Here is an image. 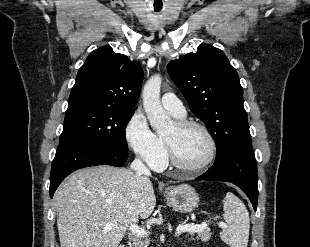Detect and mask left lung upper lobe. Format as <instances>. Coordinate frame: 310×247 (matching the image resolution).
I'll return each instance as SVG.
<instances>
[{"label":"left lung upper lobe","instance_id":"1","mask_svg":"<svg viewBox=\"0 0 310 247\" xmlns=\"http://www.w3.org/2000/svg\"><path fill=\"white\" fill-rule=\"evenodd\" d=\"M168 73L201 119L217 147L215 161L251 145L243 88L225 54L208 44L198 47L167 66Z\"/></svg>","mask_w":310,"mask_h":247}]
</instances>
